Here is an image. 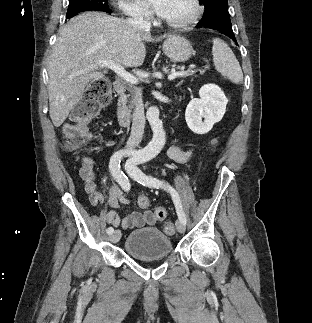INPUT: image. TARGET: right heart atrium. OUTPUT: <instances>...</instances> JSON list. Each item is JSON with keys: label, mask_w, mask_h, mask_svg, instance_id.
I'll list each match as a JSON object with an SVG mask.
<instances>
[{"label": "right heart atrium", "mask_w": 312, "mask_h": 323, "mask_svg": "<svg viewBox=\"0 0 312 323\" xmlns=\"http://www.w3.org/2000/svg\"><path fill=\"white\" fill-rule=\"evenodd\" d=\"M107 5L112 9H118L119 13H126L128 17H151V10H141V6H135L134 2L125 0H107Z\"/></svg>", "instance_id": "d8ad5b80"}]
</instances>
